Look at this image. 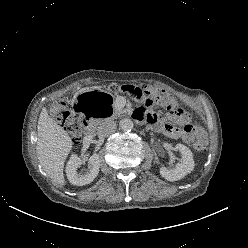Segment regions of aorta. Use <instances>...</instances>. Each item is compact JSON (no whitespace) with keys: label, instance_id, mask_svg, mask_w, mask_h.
<instances>
[{"label":"aorta","instance_id":"1","mask_svg":"<svg viewBox=\"0 0 248 248\" xmlns=\"http://www.w3.org/2000/svg\"><path fill=\"white\" fill-rule=\"evenodd\" d=\"M133 121L129 118H124L120 121L119 127L122 131L129 132L133 129Z\"/></svg>","mask_w":248,"mask_h":248}]
</instances>
